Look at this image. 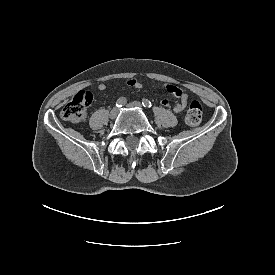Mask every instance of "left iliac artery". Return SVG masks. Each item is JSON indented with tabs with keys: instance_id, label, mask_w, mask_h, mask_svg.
Returning <instances> with one entry per match:
<instances>
[{
	"instance_id": "44dca946",
	"label": "left iliac artery",
	"mask_w": 275,
	"mask_h": 275,
	"mask_svg": "<svg viewBox=\"0 0 275 275\" xmlns=\"http://www.w3.org/2000/svg\"><path fill=\"white\" fill-rule=\"evenodd\" d=\"M142 105H143L144 107H149V108L152 106L151 102H150L148 99H144V100L142 101Z\"/></svg>"
}]
</instances>
